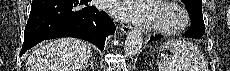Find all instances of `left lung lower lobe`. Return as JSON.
Instances as JSON below:
<instances>
[{
	"instance_id": "obj_1",
	"label": "left lung lower lobe",
	"mask_w": 230,
	"mask_h": 71,
	"mask_svg": "<svg viewBox=\"0 0 230 71\" xmlns=\"http://www.w3.org/2000/svg\"><path fill=\"white\" fill-rule=\"evenodd\" d=\"M188 13L191 17V27L185 34H183V36L199 39L205 32V25L203 21L202 12L190 10L188 11ZM160 38H162L161 35L152 36L149 42L158 40Z\"/></svg>"
}]
</instances>
